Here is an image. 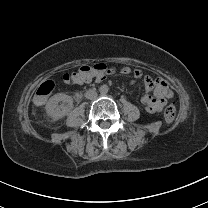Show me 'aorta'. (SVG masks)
Instances as JSON below:
<instances>
[{
  "instance_id": "1",
  "label": "aorta",
  "mask_w": 208,
  "mask_h": 208,
  "mask_svg": "<svg viewBox=\"0 0 208 208\" xmlns=\"http://www.w3.org/2000/svg\"><path fill=\"white\" fill-rule=\"evenodd\" d=\"M98 90L101 94H106L109 90V87H108L107 84L102 83V84L99 85Z\"/></svg>"
}]
</instances>
